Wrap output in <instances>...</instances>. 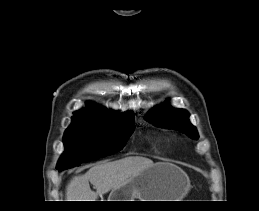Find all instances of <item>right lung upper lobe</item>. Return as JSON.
<instances>
[{"label":"right lung upper lobe","instance_id":"obj_1","mask_svg":"<svg viewBox=\"0 0 259 211\" xmlns=\"http://www.w3.org/2000/svg\"><path fill=\"white\" fill-rule=\"evenodd\" d=\"M133 115L131 112L125 114L116 115L115 113L108 111L102 107L89 103L85 108L76 111L74 116H89V117H99V118H110V117H122Z\"/></svg>","mask_w":259,"mask_h":211}]
</instances>
